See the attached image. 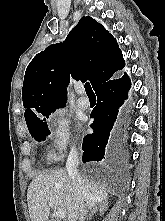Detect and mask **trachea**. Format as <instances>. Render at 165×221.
<instances>
[{
	"instance_id": "1",
	"label": "trachea",
	"mask_w": 165,
	"mask_h": 221,
	"mask_svg": "<svg viewBox=\"0 0 165 221\" xmlns=\"http://www.w3.org/2000/svg\"><path fill=\"white\" fill-rule=\"evenodd\" d=\"M84 87L88 96L95 95L89 82L85 83Z\"/></svg>"
}]
</instances>
